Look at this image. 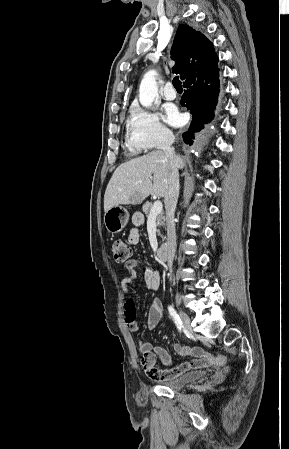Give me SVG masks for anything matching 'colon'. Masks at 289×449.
<instances>
[{
  "mask_svg": "<svg viewBox=\"0 0 289 449\" xmlns=\"http://www.w3.org/2000/svg\"><path fill=\"white\" fill-rule=\"evenodd\" d=\"M112 253L116 262L124 263L131 257L132 251L128 243L122 240H117L112 245ZM126 308L129 310L128 318H130L133 316L131 310H135L137 308V303L135 301H128L126 303Z\"/></svg>",
  "mask_w": 289,
  "mask_h": 449,
  "instance_id": "5ec220e1",
  "label": "colon"
}]
</instances>
